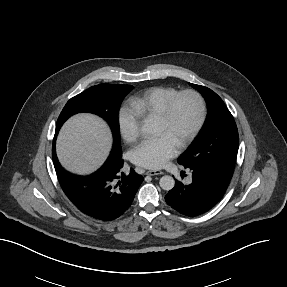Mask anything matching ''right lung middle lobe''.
<instances>
[{
	"label": "right lung middle lobe",
	"mask_w": 287,
	"mask_h": 287,
	"mask_svg": "<svg viewBox=\"0 0 287 287\" xmlns=\"http://www.w3.org/2000/svg\"><path fill=\"white\" fill-rule=\"evenodd\" d=\"M133 89L132 85L99 84L71 98L63 108L57 125H62L70 116L89 112L102 117L113 134L111 154H121L118 112L123 98Z\"/></svg>",
	"instance_id": "obj_1"
}]
</instances>
